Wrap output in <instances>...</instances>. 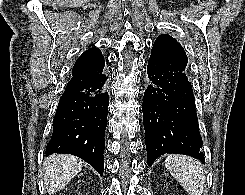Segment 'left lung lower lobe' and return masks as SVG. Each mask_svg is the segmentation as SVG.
Returning <instances> with one entry per match:
<instances>
[{
	"mask_svg": "<svg viewBox=\"0 0 245 195\" xmlns=\"http://www.w3.org/2000/svg\"><path fill=\"white\" fill-rule=\"evenodd\" d=\"M147 74L142 111L148 165L165 153L189 155L205 163L195 98L186 73L150 57Z\"/></svg>",
	"mask_w": 245,
	"mask_h": 195,
	"instance_id": "0a47b994",
	"label": "left lung lower lobe"
}]
</instances>
